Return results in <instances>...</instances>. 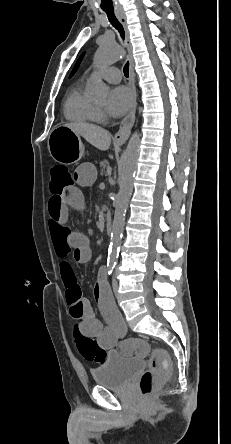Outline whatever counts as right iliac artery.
Here are the masks:
<instances>
[{"mask_svg": "<svg viewBox=\"0 0 231 444\" xmlns=\"http://www.w3.org/2000/svg\"><path fill=\"white\" fill-rule=\"evenodd\" d=\"M112 272H113V267H109V268H108V272H107V273H108V275H111V274H112Z\"/></svg>", "mask_w": 231, "mask_h": 444, "instance_id": "82829eb1", "label": "right iliac artery"}]
</instances>
